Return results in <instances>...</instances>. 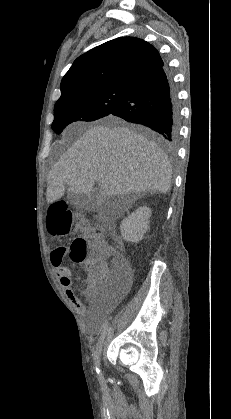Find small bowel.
I'll list each match as a JSON object with an SVG mask.
<instances>
[{"label":"small bowel","mask_w":231,"mask_h":419,"mask_svg":"<svg viewBox=\"0 0 231 419\" xmlns=\"http://www.w3.org/2000/svg\"><path fill=\"white\" fill-rule=\"evenodd\" d=\"M67 253L65 247H58L50 252L51 263L54 267L55 273L59 279L60 285L65 292L66 297L74 305L78 313L86 319V328L87 331L91 334H95L99 331V323L93 319L87 317V310L85 305L81 302L78 296L72 290V277L69 269L63 264L64 256ZM59 259V262L57 260ZM89 282V281H88ZM126 289V286H122L120 291L123 293ZM94 293V286H91L88 283V288L86 294L91 297Z\"/></svg>","instance_id":"1"}]
</instances>
